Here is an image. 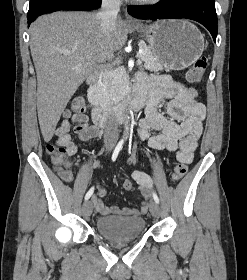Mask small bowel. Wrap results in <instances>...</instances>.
I'll list each match as a JSON object with an SVG mask.
<instances>
[{
    "instance_id": "c3829d8e",
    "label": "small bowel",
    "mask_w": 247,
    "mask_h": 280,
    "mask_svg": "<svg viewBox=\"0 0 247 280\" xmlns=\"http://www.w3.org/2000/svg\"><path fill=\"white\" fill-rule=\"evenodd\" d=\"M136 87L148 93L145 117L139 122L137 130L139 138L154 149L166 150L168 153L176 152L179 162L190 164L203 131L202 123L206 114L205 106L197 101V91L168 75L148 77L143 73L138 74ZM163 100H168L167 116L158 111V105ZM151 131L158 133L151 134ZM73 134L81 141H87L97 137L99 129L90 124L84 114L64 118L55 129V135L57 143L64 146L70 156L77 153ZM131 177L137 184L139 192L144 197H149L152 189L150 177L141 171H133ZM63 179L71 182V172ZM105 195L106 189L98 185L97 193L91 200L92 207L100 215L138 216L148 210V203H144L140 209L106 206L102 201Z\"/></svg>"
}]
</instances>
